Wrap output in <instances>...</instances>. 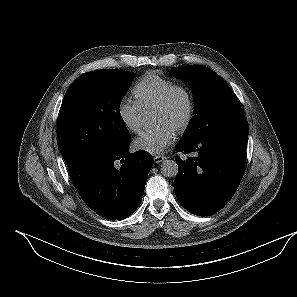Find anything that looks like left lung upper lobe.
I'll list each match as a JSON object with an SVG mask.
<instances>
[{"label":"left lung upper lobe","mask_w":297,"mask_h":297,"mask_svg":"<svg viewBox=\"0 0 297 297\" xmlns=\"http://www.w3.org/2000/svg\"><path fill=\"white\" fill-rule=\"evenodd\" d=\"M169 75L190 85L194 96V117L182 141L200 138L208 132L245 119L236 95L211 69L201 65L173 67Z\"/></svg>","instance_id":"obj_1"}]
</instances>
